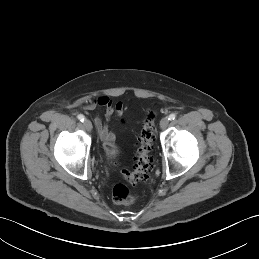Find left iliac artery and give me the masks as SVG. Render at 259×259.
<instances>
[{
  "mask_svg": "<svg viewBox=\"0 0 259 259\" xmlns=\"http://www.w3.org/2000/svg\"><path fill=\"white\" fill-rule=\"evenodd\" d=\"M176 118V114L172 113L169 115V120H174Z\"/></svg>",
  "mask_w": 259,
  "mask_h": 259,
  "instance_id": "obj_1",
  "label": "left iliac artery"
}]
</instances>
